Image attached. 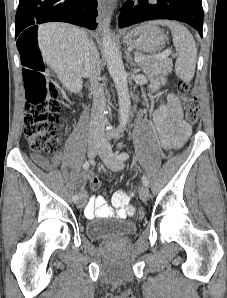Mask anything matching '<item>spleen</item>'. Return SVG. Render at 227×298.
<instances>
[{"mask_svg": "<svg viewBox=\"0 0 227 298\" xmlns=\"http://www.w3.org/2000/svg\"><path fill=\"white\" fill-rule=\"evenodd\" d=\"M153 23L167 26L171 30L173 44L178 53L175 64L176 74L183 81L190 82L195 73L197 59V49L192 34L186 27L175 21L162 20Z\"/></svg>", "mask_w": 227, "mask_h": 298, "instance_id": "3e777b00", "label": "spleen"}]
</instances>
